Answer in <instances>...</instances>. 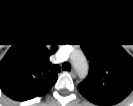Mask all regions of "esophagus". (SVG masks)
Instances as JSON below:
<instances>
[{
  "label": "esophagus",
  "instance_id": "esophagus-1",
  "mask_svg": "<svg viewBox=\"0 0 133 106\" xmlns=\"http://www.w3.org/2000/svg\"><path fill=\"white\" fill-rule=\"evenodd\" d=\"M70 74H71V76H72L73 78H75V77H76V71H75L74 69H73V70H71Z\"/></svg>",
  "mask_w": 133,
  "mask_h": 106
}]
</instances>
